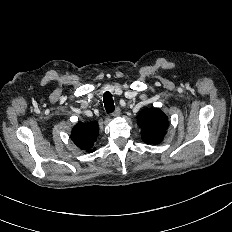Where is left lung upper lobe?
Wrapping results in <instances>:
<instances>
[{
  "label": "left lung upper lobe",
  "mask_w": 232,
  "mask_h": 232,
  "mask_svg": "<svg viewBox=\"0 0 232 232\" xmlns=\"http://www.w3.org/2000/svg\"><path fill=\"white\" fill-rule=\"evenodd\" d=\"M137 120L145 143L159 144L163 141L169 124L163 111L158 108L143 109L137 115Z\"/></svg>",
  "instance_id": "left-lung-upper-lobe-1"
}]
</instances>
